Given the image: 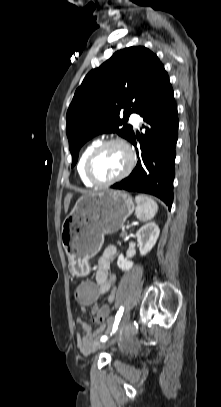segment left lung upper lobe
Returning <instances> with one entry per match:
<instances>
[{"label":"left lung upper lobe","instance_id":"left-lung-upper-lobe-1","mask_svg":"<svg viewBox=\"0 0 221 407\" xmlns=\"http://www.w3.org/2000/svg\"><path fill=\"white\" fill-rule=\"evenodd\" d=\"M166 76L158 57L143 46L119 50L91 70L67 111L72 167L81 146L97 134L116 132L131 141L134 132L125 120L131 113H139Z\"/></svg>","mask_w":221,"mask_h":407}]
</instances>
